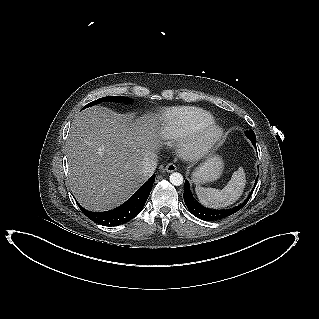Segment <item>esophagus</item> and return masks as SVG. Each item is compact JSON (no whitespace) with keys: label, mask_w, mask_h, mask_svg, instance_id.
I'll use <instances>...</instances> for the list:
<instances>
[{"label":"esophagus","mask_w":319,"mask_h":319,"mask_svg":"<svg viewBox=\"0 0 319 319\" xmlns=\"http://www.w3.org/2000/svg\"><path fill=\"white\" fill-rule=\"evenodd\" d=\"M165 170H166L168 173H171V172L176 171V170H177V167H176V165H175L174 163L171 162V163L167 164Z\"/></svg>","instance_id":"34e87169"}]
</instances>
